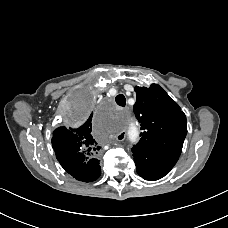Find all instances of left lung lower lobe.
I'll use <instances>...</instances> for the list:
<instances>
[{
	"instance_id": "1",
	"label": "left lung lower lobe",
	"mask_w": 228,
	"mask_h": 228,
	"mask_svg": "<svg viewBox=\"0 0 228 228\" xmlns=\"http://www.w3.org/2000/svg\"><path fill=\"white\" fill-rule=\"evenodd\" d=\"M137 173L144 179L155 181L164 177L179 157L153 150L132 148Z\"/></svg>"
}]
</instances>
